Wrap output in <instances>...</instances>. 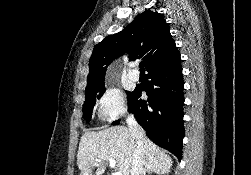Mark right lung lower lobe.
I'll use <instances>...</instances> for the list:
<instances>
[{"instance_id":"obj_1","label":"right lung lower lobe","mask_w":251,"mask_h":175,"mask_svg":"<svg viewBox=\"0 0 251 175\" xmlns=\"http://www.w3.org/2000/svg\"><path fill=\"white\" fill-rule=\"evenodd\" d=\"M180 56L159 67L147 70V79L127 93L128 109L134 113L147 136L160 147L173 153L179 161L182 155L183 75ZM145 91L147 100L140 99ZM119 121L113 122V125Z\"/></svg>"}]
</instances>
